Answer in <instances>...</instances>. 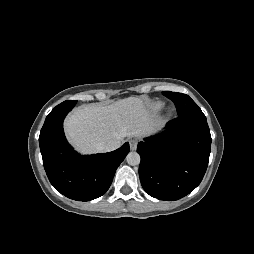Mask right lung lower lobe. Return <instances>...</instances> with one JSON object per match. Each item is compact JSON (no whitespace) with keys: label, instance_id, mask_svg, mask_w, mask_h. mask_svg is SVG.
Listing matches in <instances>:
<instances>
[{"label":"right lung lower lobe","instance_id":"right-lung-lower-lobe-1","mask_svg":"<svg viewBox=\"0 0 254 254\" xmlns=\"http://www.w3.org/2000/svg\"><path fill=\"white\" fill-rule=\"evenodd\" d=\"M75 104L64 101L48 114L40 132L39 145L50 183L70 199L90 201L109 189L115 171L130 147L126 142L109 153L82 156L75 152L63 131V120Z\"/></svg>","mask_w":254,"mask_h":254}]
</instances>
